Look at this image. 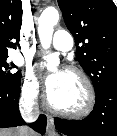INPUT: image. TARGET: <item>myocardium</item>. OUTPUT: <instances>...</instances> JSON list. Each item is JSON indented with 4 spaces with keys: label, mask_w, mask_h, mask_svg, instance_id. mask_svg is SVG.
<instances>
[{
    "label": "myocardium",
    "mask_w": 117,
    "mask_h": 136,
    "mask_svg": "<svg viewBox=\"0 0 117 136\" xmlns=\"http://www.w3.org/2000/svg\"><path fill=\"white\" fill-rule=\"evenodd\" d=\"M66 71L76 75L81 80L86 92L85 104L77 110L60 109L51 103L49 94H47V97H46L47 106L52 112L63 117H67L71 119L84 118L93 111L96 104V92H95L94 85L90 77L81 68L76 66H69L67 67Z\"/></svg>",
    "instance_id": "f54148a6"
}]
</instances>
